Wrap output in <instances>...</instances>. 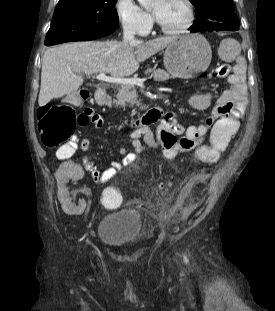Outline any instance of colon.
Segmentation results:
<instances>
[{
    "instance_id": "obj_1",
    "label": "colon",
    "mask_w": 275,
    "mask_h": 311,
    "mask_svg": "<svg viewBox=\"0 0 275 311\" xmlns=\"http://www.w3.org/2000/svg\"><path fill=\"white\" fill-rule=\"evenodd\" d=\"M229 66L220 64L216 68V75L225 77L229 74ZM75 100L84 97L82 93L74 94ZM89 111L77 112L70 105H46L38 110V132L41 142L49 148L58 147L57 155L62 158L71 157L76 150V145L70 141L78 125L86 126L91 122ZM242 125L239 118H217L215 132L209 147L199 153V159L205 164H215L222 152L226 150L230 140ZM197 143L196 147H199ZM102 200L109 207L118 205V190L109 183H102Z\"/></svg>"
}]
</instances>
